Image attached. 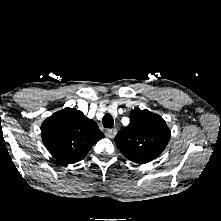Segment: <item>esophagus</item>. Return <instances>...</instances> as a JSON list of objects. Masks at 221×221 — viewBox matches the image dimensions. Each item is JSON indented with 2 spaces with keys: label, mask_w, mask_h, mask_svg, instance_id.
<instances>
[{
  "label": "esophagus",
  "mask_w": 221,
  "mask_h": 221,
  "mask_svg": "<svg viewBox=\"0 0 221 221\" xmlns=\"http://www.w3.org/2000/svg\"><path fill=\"white\" fill-rule=\"evenodd\" d=\"M117 133L116 129H109L106 131V136L110 139L114 138Z\"/></svg>",
  "instance_id": "34e87169"
}]
</instances>
